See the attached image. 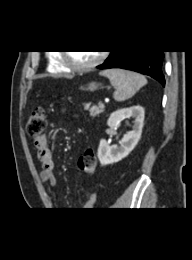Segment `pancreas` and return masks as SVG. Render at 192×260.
I'll use <instances>...</instances> for the list:
<instances>
[{
	"instance_id": "1",
	"label": "pancreas",
	"mask_w": 192,
	"mask_h": 260,
	"mask_svg": "<svg viewBox=\"0 0 192 260\" xmlns=\"http://www.w3.org/2000/svg\"><path fill=\"white\" fill-rule=\"evenodd\" d=\"M84 109L90 113V116L96 117L104 112V107L100 105H91V103L84 104Z\"/></svg>"
}]
</instances>
